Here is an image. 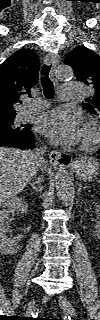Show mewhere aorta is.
<instances>
[{"instance_id": "obj_1", "label": "aorta", "mask_w": 100, "mask_h": 320, "mask_svg": "<svg viewBox=\"0 0 100 320\" xmlns=\"http://www.w3.org/2000/svg\"><path fill=\"white\" fill-rule=\"evenodd\" d=\"M74 76L73 69L68 65L58 67L56 77L60 81H70ZM55 188L59 200L69 205L74 199L73 184L64 165H61L55 175Z\"/></svg>"}]
</instances>
